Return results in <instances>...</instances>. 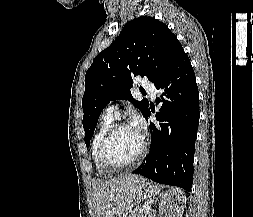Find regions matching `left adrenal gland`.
Instances as JSON below:
<instances>
[{"label":"left adrenal gland","mask_w":253,"mask_h":217,"mask_svg":"<svg viewBox=\"0 0 253 217\" xmlns=\"http://www.w3.org/2000/svg\"><path fill=\"white\" fill-rule=\"evenodd\" d=\"M152 214H155V210H152ZM154 217V216H153Z\"/></svg>","instance_id":"left-adrenal-gland-1"}]
</instances>
